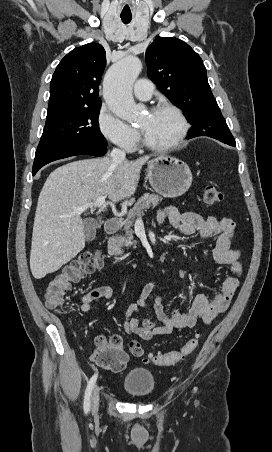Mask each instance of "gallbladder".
Listing matches in <instances>:
<instances>
[{
  "mask_svg": "<svg viewBox=\"0 0 272 452\" xmlns=\"http://www.w3.org/2000/svg\"><path fill=\"white\" fill-rule=\"evenodd\" d=\"M99 224L93 219H86L84 221V235L86 240H92L95 238L96 230Z\"/></svg>",
  "mask_w": 272,
  "mask_h": 452,
  "instance_id": "bac80fb5",
  "label": "gallbladder"
}]
</instances>
